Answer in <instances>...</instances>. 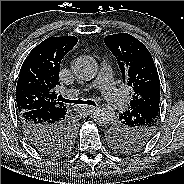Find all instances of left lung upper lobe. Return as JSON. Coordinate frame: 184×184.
Masks as SVG:
<instances>
[{"label":"left lung upper lobe","mask_w":184,"mask_h":184,"mask_svg":"<svg viewBox=\"0 0 184 184\" xmlns=\"http://www.w3.org/2000/svg\"><path fill=\"white\" fill-rule=\"evenodd\" d=\"M104 41L118 60L123 82L132 88L131 108L119 114L107 136L117 151L133 152L146 144L155 130L159 106L148 110L141 107L154 99L160 100L158 72L148 49L132 35H108ZM140 110L145 114L140 115Z\"/></svg>","instance_id":"5c2ea615"}]
</instances>
